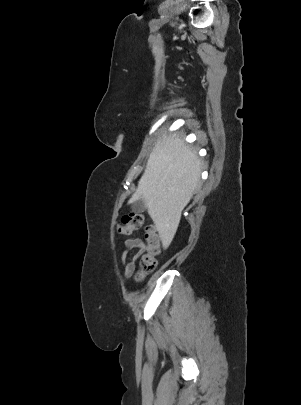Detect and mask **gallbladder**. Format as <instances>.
I'll return each instance as SVG.
<instances>
[{
	"mask_svg": "<svg viewBox=\"0 0 301 405\" xmlns=\"http://www.w3.org/2000/svg\"><path fill=\"white\" fill-rule=\"evenodd\" d=\"M131 208L135 213H142L146 210V204L143 199H138L132 203Z\"/></svg>",
	"mask_w": 301,
	"mask_h": 405,
	"instance_id": "1",
	"label": "gallbladder"
}]
</instances>
